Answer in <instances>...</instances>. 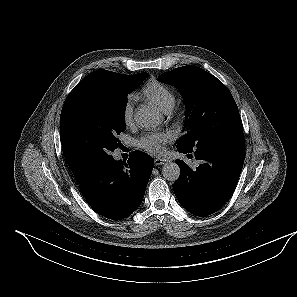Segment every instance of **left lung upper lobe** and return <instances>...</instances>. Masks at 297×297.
<instances>
[{
  "label": "left lung upper lobe",
  "instance_id": "obj_1",
  "mask_svg": "<svg viewBox=\"0 0 297 297\" xmlns=\"http://www.w3.org/2000/svg\"><path fill=\"white\" fill-rule=\"evenodd\" d=\"M158 80L176 86L187 107L185 133L177 147L192 152L210 141L242 131L238 107L227 87L215 76L195 66L163 73Z\"/></svg>",
  "mask_w": 297,
  "mask_h": 297
}]
</instances>
